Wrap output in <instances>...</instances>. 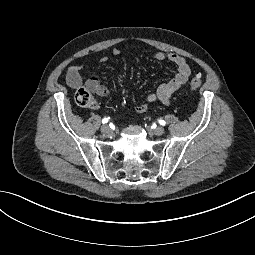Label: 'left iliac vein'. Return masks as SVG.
<instances>
[{
	"mask_svg": "<svg viewBox=\"0 0 255 255\" xmlns=\"http://www.w3.org/2000/svg\"><path fill=\"white\" fill-rule=\"evenodd\" d=\"M153 132H154L155 135L160 136L164 133V128L161 127V126H158V127L153 129Z\"/></svg>",
	"mask_w": 255,
	"mask_h": 255,
	"instance_id": "1",
	"label": "left iliac vein"
}]
</instances>
